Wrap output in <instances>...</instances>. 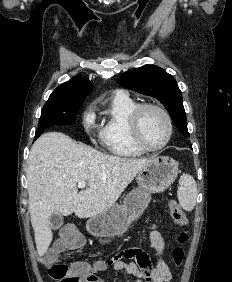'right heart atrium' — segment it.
<instances>
[{"label":"right heart atrium","mask_w":232,"mask_h":282,"mask_svg":"<svg viewBox=\"0 0 232 282\" xmlns=\"http://www.w3.org/2000/svg\"><path fill=\"white\" fill-rule=\"evenodd\" d=\"M83 126L88 134L94 132L95 129V116L92 112H87L83 118Z\"/></svg>","instance_id":"d8ad5b80"}]
</instances>
